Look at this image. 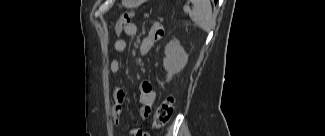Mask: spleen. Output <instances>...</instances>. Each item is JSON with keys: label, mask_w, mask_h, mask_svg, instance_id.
I'll list each match as a JSON object with an SVG mask.
<instances>
[{"label": "spleen", "mask_w": 325, "mask_h": 136, "mask_svg": "<svg viewBox=\"0 0 325 136\" xmlns=\"http://www.w3.org/2000/svg\"><path fill=\"white\" fill-rule=\"evenodd\" d=\"M193 10L189 12L192 21L206 32L213 27L212 8L209 0H193Z\"/></svg>", "instance_id": "spleen-1"}]
</instances>
